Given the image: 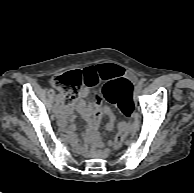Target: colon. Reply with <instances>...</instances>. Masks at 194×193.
Returning <instances> with one entry per match:
<instances>
[{
  "label": "colon",
  "mask_w": 194,
  "mask_h": 193,
  "mask_svg": "<svg viewBox=\"0 0 194 193\" xmlns=\"http://www.w3.org/2000/svg\"><path fill=\"white\" fill-rule=\"evenodd\" d=\"M84 80L85 75L80 70L68 71L56 77L55 83L61 88L66 103H71L78 98L81 88L84 84ZM131 87L132 84L127 79L125 78L115 79L105 86L103 90L104 97L108 99H113L114 94L119 89L128 90ZM129 113H132V109H130ZM126 135L127 129L125 127H121L113 141L114 149H119L122 146Z\"/></svg>",
  "instance_id": "5ec220e1"
}]
</instances>
